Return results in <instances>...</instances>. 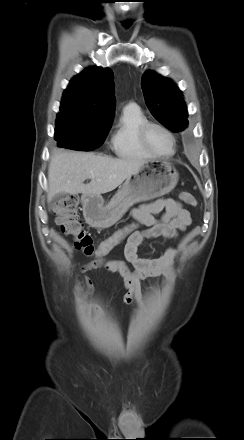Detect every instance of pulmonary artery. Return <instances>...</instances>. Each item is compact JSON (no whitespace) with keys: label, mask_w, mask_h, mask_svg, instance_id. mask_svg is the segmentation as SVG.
<instances>
[{"label":"pulmonary artery","mask_w":244,"mask_h":440,"mask_svg":"<svg viewBox=\"0 0 244 440\" xmlns=\"http://www.w3.org/2000/svg\"><path fill=\"white\" fill-rule=\"evenodd\" d=\"M136 105L134 104V103H130V104H128L126 107L127 108H130V107H135Z\"/></svg>","instance_id":"pulmonary-artery-1"}]
</instances>
